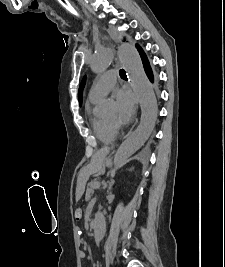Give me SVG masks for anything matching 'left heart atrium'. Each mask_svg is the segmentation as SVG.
Segmentation results:
<instances>
[{"label":"left heart atrium","mask_w":225,"mask_h":267,"mask_svg":"<svg viewBox=\"0 0 225 267\" xmlns=\"http://www.w3.org/2000/svg\"><path fill=\"white\" fill-rule=\"evenodd\" d=\"M117 104L116 123L122 125L127 123L134 111V100L132 94L127 89H119L115 92Z\"/></svg>","instance_id":"left-heart-atrium-1"}]
</instances>
